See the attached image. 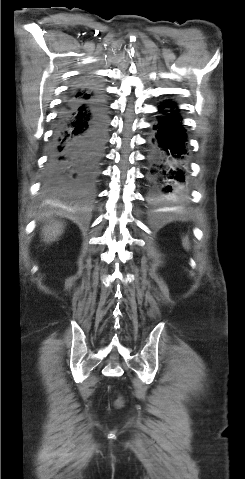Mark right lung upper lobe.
I'll return each mask as SVG.
<instances>
[{"label":"right lung upper lobe","mask_w":245,"mask_h":479,"mask_svg":"<svg viewBox=\"0 0 245 479\" xmlns=\"http://www.w3.org/2000/svg\"><path fill=\"white\" fill-rule=\"evenodd\" d=\"M100 94H102L100 88L95 83L89 81L84 88L74 90V92L69 95V99H78L84 101L94 98Z\"/></svg>","instance_id":"obj_1"}]
</instances>
